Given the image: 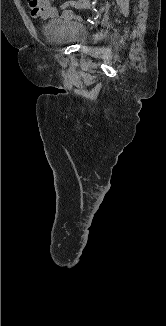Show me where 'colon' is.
I'll return each mask as SVG.
<instances>
[{"mask_svg": "<svg viewBox=\"0 0 166 326\" xmlns=\"http://www.w3.org/2000/svg\"><path fill=\"white\" fill-rule=\"evenodd\" d=\"M87 0H79L75 2L73 0L68 1L67 3L62 5V9L69 10V9H81V8H88Z\"/></svg>", "mask_w": 166, "mask_h": 326, "instance_id": "1", "label": "colon"}]
</instances>
